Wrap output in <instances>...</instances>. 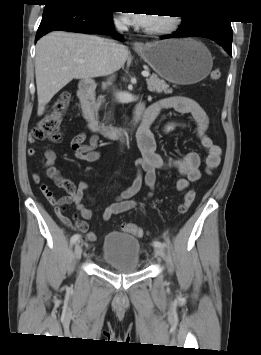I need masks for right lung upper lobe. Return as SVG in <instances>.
Returning a JSON list of instances; mask_svg holds the SVG:
<instances>
[{"mask_svg":"<svg viewBox=\"0 0 261 355\" xmlns=\"http://www.w3.org/2000/svg\"><path fill=\"white\" fill-rule=\"evenodd\" d=\"M45 1L48 3V2L61 1V0H45Z\"/></svg>","mask_w":261,"mask_h":355,"instance_id":"1","label":"right lung upper lobe"}]
</instances>
